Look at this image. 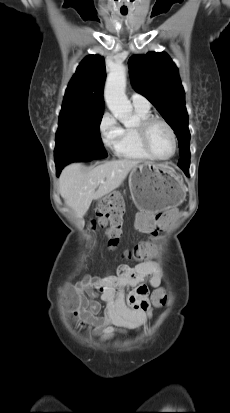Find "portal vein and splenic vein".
<instances>
[{"label": "portal vein and splenic vein", "mask_w": 230, "mask_h": 413, "mask_svg": "<svg viewBox=\"0 0 230 413\" xmlns=\"http://www.w3.org/2000/svg\"><path fill=\"white\" fill-rule=\"evenodd\" d=\"M100 183H104V181H103V180H101V181H100Z\"/></svg>", "instance_id": "portal-vein-and-splenic-vein-1"}]
</instances>
